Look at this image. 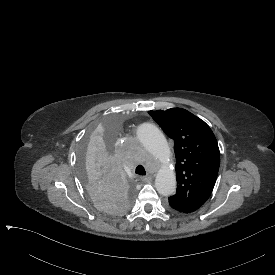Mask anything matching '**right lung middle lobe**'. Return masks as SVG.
I'll list each match as a JSON object with an SVG mask.
<instances>
[{
    "instance_id": "right-lung-middle-lobe-1",
    "label": "right lung middle lobe",
    "mask_w": 275,
    "mask_h": 275,
    "mask_svg": "<svg viewBox=\"0 0 275 275\" xmlns=\"http://www.w3.org/2000/svg\"><path fill=\"white\" fill-rule=\"evenodd\" d=\"M121 128L118 114H104L86 132L79 150V180L97 208L111 215L123 213L134 200L131 179L112 147Z\"/></svg>"
}]
</instances>
